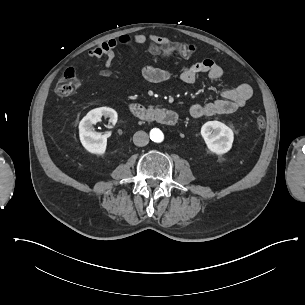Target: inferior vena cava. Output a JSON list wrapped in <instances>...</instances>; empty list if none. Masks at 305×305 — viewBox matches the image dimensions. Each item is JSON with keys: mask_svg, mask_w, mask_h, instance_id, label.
<instances>
[{"mask_svg": "<svg viewBox=\"0 0 305 305\" xmlns=\"http://www.w3.org/2000/svg\"><path fill=\"white\" fill-rule=\"evenodd\" d=\"M133 142L136 146H146L149 142V136L144 131H137L133 136Z\"/></svg>", "mask_w": 305, "mask_h": 305, "instance_id": "602c4592", "label": "inferior vena cava"}]
</instances>
